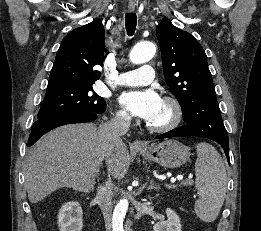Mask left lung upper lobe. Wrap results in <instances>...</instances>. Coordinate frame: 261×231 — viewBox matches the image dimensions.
<instances>
[{"mask_svg": "<svg viewBox=\"0 0 261 231\" xmlns=\"http://www.w3.org/2000/svg\"><path fill=\"white\" fill-rule=\"evenodd\" d=\"M164 77L178 99L183 118L209 138H226L207 56L188 32L163 18L157 27Z\"/></svg>", "mask_w": 261, "mask_h": 231, "instance_id": "5c2ea615", "label": "left lung upper lobe"}]
</instances>
